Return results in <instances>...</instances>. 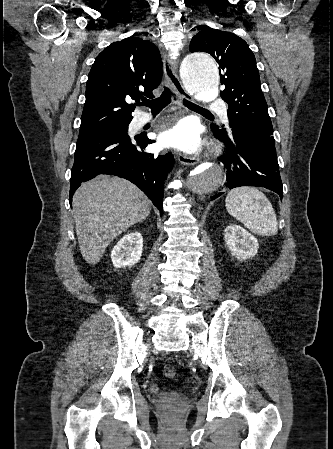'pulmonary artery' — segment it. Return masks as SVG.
<instances>
[{"mask_svg": "<svg viewBox=\"0 0 333 449\" xmlns=\"http://www.w3.org/2000/svg\"><path fill=\"white\" fill-rule=\"evenodd\" d=\"M209 106L213 109H217L219 107L223 106V102L221 100H214L212 101ZM151 120V117L147 114L142 115L141 117H139L136 121L138 126H142L144 124H146L147 122H149Z\"/></svg>", "mask_w": 333, "mask_h": 449, "instance_id": "e3ab8cb5", "label": "pulmonary artery"}]
</instances>
